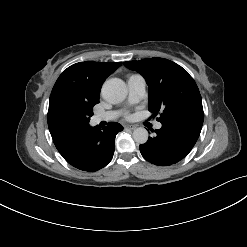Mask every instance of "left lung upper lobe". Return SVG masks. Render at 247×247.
I'll list each match as a JSON object with an SVG mask.
<instances>
[{"mask_svg": "<svg viewBox=\"0 0 247 247\" xmlns=\"http://www.w3.org/2000/svg\"><path fill=\"white\" fill-rule=\"evenodd\" d=\"M124 65L146 80L148 107L161 123L183 121L202 126L204 112L198 87L188 72L164 58L127 61Z\"/></svg>", "mask_w": 247, "mask_h": 247, "instance_id": "left-lung-upper-lobe-1", "label": "left lung upper lobe"}]
</instances>
